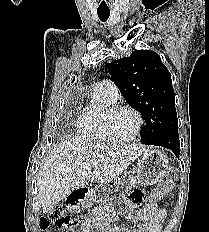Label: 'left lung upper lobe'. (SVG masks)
Instances as JSON below:
<instances>
[{"label": "left lung upper lobe", "mask_w": 209, "mask_h": 232, "mask_svg": "<svg viewBox=\"0 0 209 232\" xmlns=\"http://www.w3.org/2000/svg\"><path fill=\"white\" fill-rule=\"evenodd\" d=\"M106 68L126 102L146 122L140 131L141 142L153 145L160 134L178 128L171 74L157 53L135 50Z\"/></svg>", "instance_id": "1"}]
</instances>
